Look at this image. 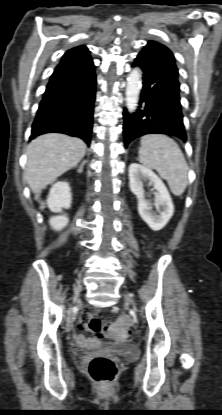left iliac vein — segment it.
Listing matches in <instances>:
<instances>
[{
    "mask_svg": "<svg viewBox=\"0 0 222 415\" xmlns=\"http://www.w3.org/2000/svg\"><path fill=\"white\" fill-rule=\"evenodd\" d=\"M125 299H126L127 302H129V303H131V304L134 305V300H133L132 296L126 294L125 295Z\"/></svg>",
    "mask_w": 222,
    "mask_h": 415,
    "instance_id": "obj_1",
    "label": "left iliac vein"
}]
</instances>
